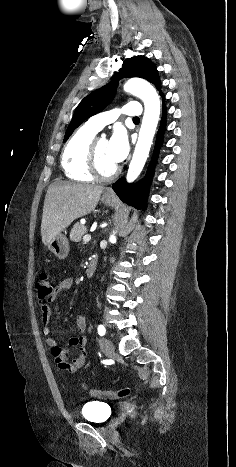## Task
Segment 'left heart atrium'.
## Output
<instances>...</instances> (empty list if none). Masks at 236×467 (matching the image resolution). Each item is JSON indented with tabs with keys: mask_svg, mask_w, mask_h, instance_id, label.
Returning <instances> with one entry per match:
<instances>
[{
	"mask_svg": "<svg viewBox=\"0 0 236 467\" xmlns=\"http://www.w3.org/2000/svg\"><path fill=\"white\" fill-rule=\"evenodd\" d=\"M129 152V141L127 132L123 127H116L108 141V153L116 164L122 162Z\"/></svg>",
	"mask_w": 236,
	"mask_h": 467,
	"instance_id": "left-heart-atrium-1",
	"label": "left heart atrium"
}]
</instances>
